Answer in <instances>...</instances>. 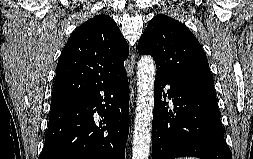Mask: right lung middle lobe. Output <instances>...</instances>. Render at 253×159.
Here are the masks:
<instances>
[{
	"instance_id": "obj_1",
	"label": "right lung middle lobe",
	"mask_w": 253,
	"mask_h": 159,
	"mask_svg": "<svg viewBox=\"0 0 253 159\" xmlns=\"http://www.w3.org/2000/svg\"><path fill=\"white\" fill-rule=\"evenodd\" d=\"M72 102H58V103H51V113L61 110L62 108L66 107L67 105L71 104Z\"/></svg>"
}]
</instances>
